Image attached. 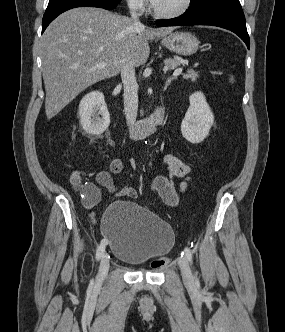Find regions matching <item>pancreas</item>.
<instances>
[{"instance_id":"1","label":"pancreas","mask_w":285,"mask_h":332,"mask_svg":"<svg viewBox=\"0 0 285 332\" xmlns=\"http://www.w3.org/2000/svg\"><path fill=\"white\" fill-rule=\"evenodd\" d=\"M164 64L169 68V69H174L176 68L178 65H180V61L177 59H165L164 60ZM198 77V73L195 72L194 70H188V72L186 74L183 75L184 79H191L192 81H196Z\"/></svg>"}]
</instances>
